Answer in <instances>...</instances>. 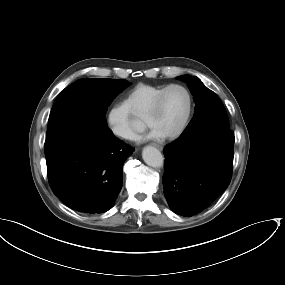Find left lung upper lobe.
Segmentation results:
<instances>
[{"instance_id": "left-lung-upper-lobe-1", "label": "left lung upper lobe", "mask_w": 285, "mask_h": 285, "mask_svg": "<svg viewBox=\"0 0 285 285\" xmlns=\"http://www.w3.org/2000/svg\"><path fill=\"white\" fill-rule=\"evenodd\" d=\"M179 79L188 84L196 102L194 116L181 135L203 127L230 129L223 103L213 91L195 76L183 75Z\"/></svg>"}]
</instances>
